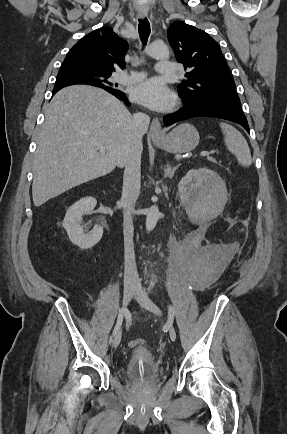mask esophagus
<instances>
[{
  "label": "esophagus",
  "instance_id": "1",
  "mask_svg": "<svg viewBox=\"0 0 287 434\" xmlns=\"http://www.w3.org/2000/svg\"><path fill=\"white\" fill-rule=\"evenodd\" d=\"M147 16L146 12H140L139 17L144 18ZM150 136L153 140H159L162 138V131H161V122L159 117H154L152 120V123L150 125Z\"/></svg>",
  "mask_w": 287,
  "mask_h": 434
}]
</instances>
